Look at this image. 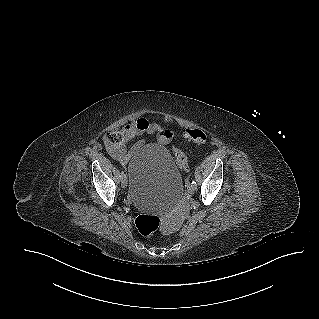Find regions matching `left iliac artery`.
I'll list each match as a JSON object with an SVG mask.
<instances>
[{
	"mask_svg": "<svg viewBox=\"0 0 319 319\" xmlns=\"http://www.w3.org/2000/svg\"><path fill=\"white\" fill-rule=\"evenodd\" d=\"M190 184H191V185H194L195 187L197 186V185H196V182H195L194 180H193L191 183H187V187H188Z\"/></svg>",
	"mask_w": 319,
	"mask_h": 319,
	"instance_id": "left-iliac-artery-1",
	"label": "left iliac artery"
}]
</instances>
